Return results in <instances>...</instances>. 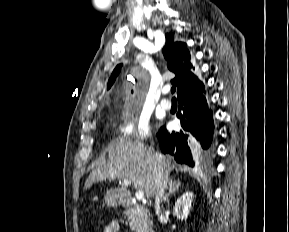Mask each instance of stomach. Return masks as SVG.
Returning a JSON list of instances; mask_svg holds the SVG:
<instances>
[{
	"instance_id": "obj_1",
	"label": "stomach",
	"mask_w": 289,
	"mask_h": 232,
	"mask_svg": "<svg viewBox=\"0 0 289 232\" xmlns=\"http://www.w3.org/2000/svg\"><path fill=\"white\" fill-rule=\"evenodd\" d=\"M105 201L108 206H113L121 201V196L116 194L115 191H109L105 197Z\"/></svg>"
}]
</instances>
